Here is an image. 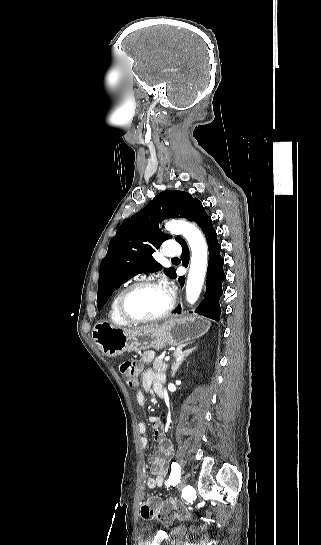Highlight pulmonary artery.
<instances>
[{
    "mask_svg": "<svg viewBox=\"0 0 321 545\" xmlns=\"http://www.w3.org/2000/svg\"><path fill=\"white\" fill-rule=\"evenodd\" d=\"M166 249L167 251L164 256L167 261H174L181 254L180 243L178 241H168Z\"/></svg>",
    "mask_w": 321,
    "mask_h": 545,
    "instance_id": "pulmonary-artery-1",
    "label": "pulmonary artery"
}]
</instances>
